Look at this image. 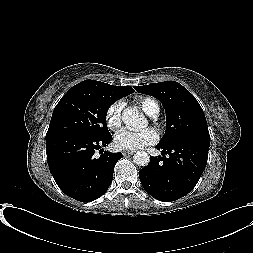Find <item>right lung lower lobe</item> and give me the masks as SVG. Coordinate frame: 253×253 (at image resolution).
I'll return each instance as SVG.
<instances>
[{"label":"right lung lower lobe","mask_w":253,"mask_h":253,"mask_svg":"<svg viewBox=\"0 0 253 253\" xmlns=\"http://www.w3.org/2000/svg\"><path fill=\"white\" fill-rule=\"evenodd\" d=\"M111 141V134L101 138L71 134L46 140L50 172L66 195L90 202L107 191L115 164L122 157L120 152L99 150ZM95 150L101 153L99 158L94 156Z\"/></svg>","instance_id":"1"}]
</instances>
